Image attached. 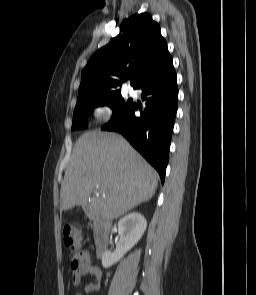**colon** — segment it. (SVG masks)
I'll return each mask as SVG.
<instances>
[{
    "mask_svg": "<svg viewBox=\"0 0 256 295\" xmlns=\"http://www.w3.org/2000/svg\"><path fill=\"white\" fill-rule=\"evenodd\" d=\"M63 241L69 249V267L77 270L90 261L89 255L81 248V238L78 230L72 225H66L63 229Z\"/></svg>",
    "mask_w": 256,
    "mask_h": 295,
    "instance_id": "1",
    "label": "colon"
}]
</instances>
